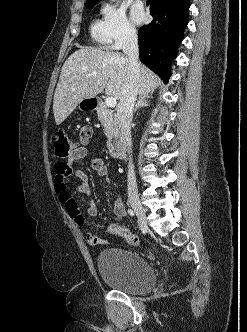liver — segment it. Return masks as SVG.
<instances>
[{
    "instance_id": "1",
    "label": "liver",
    "mask_w": 247,
    "mask_h": 332,
    "mask_svg": "<svg viewBox=\"0 0 247 332\" xmlns=\"http://www.w3.org/2000/svg\"><path fill=\"white\" fill-rule=\"evenodd\" d=\"M129 82L128 58L119 52L84 47L71 54L62 66L54 93L53 113L60 125L84 99L105 93L121 99ZM161 83L147 67L140 66L138 92L148 95Z\"/></svg>"
}]
</instances>
